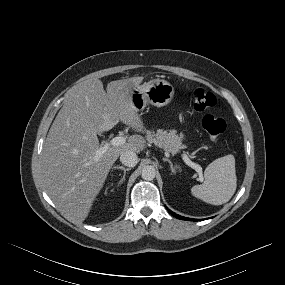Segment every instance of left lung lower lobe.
<instances>
[{"mask_svg": "<svg viewBox=\"0 0 285 285\" xmlns=\"http://www.w3.org/2000/svg\"><path fill=\"white\" fill-rule=\"evenodd\" d=\"M169 212L175 216L176 218L178 219H182V220H192V221H198V219H191V218H186V217H183V216H180V215H177L176 213L172 212L171 210H169Z\"/></svg>", "mask_w": 285, "mask_h": 285, "instance_id": "left-lung-lower-lobe-1", "label": "left lung lower lobe"}]
</instances>
